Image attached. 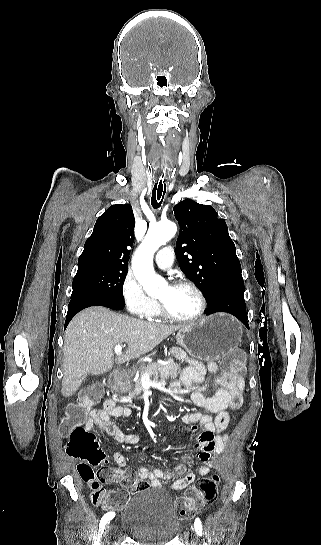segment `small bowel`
<instances>
[{
    "label": "small bowel",
    "instance_id": "obj_1",
    "mask_svg": "<svg viewBox=\"0 0 321 545\" xmlns=\"http://www.w3.org/2000/svg\"><path fill=\"white\" fill-rule=\"evenodd\" d=\"M207 373L215 374L213 383L215 386H220L214 395L210 397L205 396L195 387V384L203 383L206 380ZM176 386L188 391L191 401L205 410V412H190L183 418L188 433L196 436L194 448L198 450L197 459L204 465L196 472L186 473L192 459L189 456H184L180 464L171 473H166L159 468L148 469L139 466L136 474L141 479H148L151 486L155 488L182 490L194 482L197 477L207 475L215 465V459L223 452L228 439V436L223 434L229 425L228 411L236 410L241 406L244 383L241 378L222 373L215 362H209L205 365L190 360L189 366L181 373ZM130 414V408L119 405L115 399L110 398L104 402L101 409H94L90 412L85 422V428L91 431L97 426L114 437L118 443L137 445L139 443L137 435L124 433L112 421V417L123 418L128 417ZM198 427L201 428L200 432H198ZM112 458L117 465L115 468L107 466V459L103 454V457L99 460L81 462L78 465V472L83 480L87 475H99L102 482L122 483L130 470L126 469V460L121 453L112 452ZM94 467H100L97 474L94 472ZM174 478L177 479L169 486L165 485L166 480Z\"/></svg>",
    "mask_w": 321,
    "mask_h": 545
}]
</instances>
